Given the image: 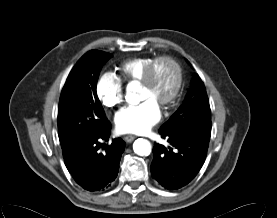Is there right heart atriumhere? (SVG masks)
I'll use <instances>...</instances> for the list:
<instances>
[{
	"mask_svg": "<svg viewBox=\"0 0 277 218\" xmlns=\"http://www.w3.org/2000/svg\"><path fill=\"white\" fill-rule=\"evenodd\" d=\"M96 91L101 102L109 108L122 103L125 96L122 82L108 72L99 76Z\"/></svg>",
	"mask_w": 277,
	"mask_h": 218,
	"instance_id": "d8ad5b80",
	"label": "right heart atrium"
}]
</instances>
